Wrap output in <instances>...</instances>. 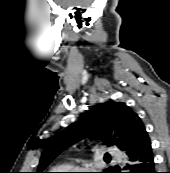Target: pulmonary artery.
Returning a JSON list of instances; mask_svg holds the SVG:
<instances>
[{"mask_svg": "<svg viewBox=\"0 0 170 173\" xmlns=\"http://www.w3.org/2000/svg\"><path fill=\"white\" fill-rule=\"evenodd\" d=\"M108 153L112 157H115V158H120L121 157V153L116 148H109Z\"/></svg>", "mask_w": 170, "mask_h": 173, "instance_id": "1", "label": "pulmonary artery"}]
</instances>
